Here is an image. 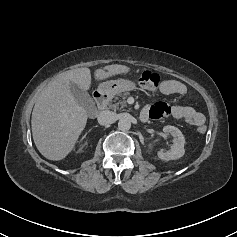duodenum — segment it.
<instances>
[{"mask_svg": "<svg viewBox=\"0 0 237 237\" xmlns=\"http://www.w3.org/2000/svg\"><path fill=\"white\" fill-rule=\"evenodd\" d=\"M93 97H94L97 108L100 110H103L106 107L107 102H108L107 95L102 91H95ZM92 113L95 114L94 112Z\"/></svg>", "mask_w": 237, "mask_h": 237, "instance_id": "410a0bca", "label": "duodenum"}]
</instances>
